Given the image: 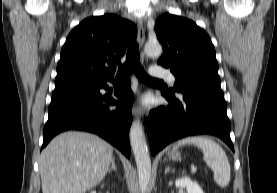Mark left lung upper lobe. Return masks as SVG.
I'll return each mask as SVG.
<instances>
[{
    "label": "left lung upper lobe",
    "mask_w": 277,
    "mask_h": 193,
    "mask_svg": "<svg viewBox=\"0 0 277 193\" xmlns=\"http://www.w3.org/2000/svg\"><path fill=\"white\" fill-rule=\"evenodd\" d=\"M164 53L158 64L170 68L175 91L200 83L220 84L215 48L208 34L193 21L166 13L155 22Z\"/></svg>",
    "instance_id": "obj_1"
}]
</instances>
